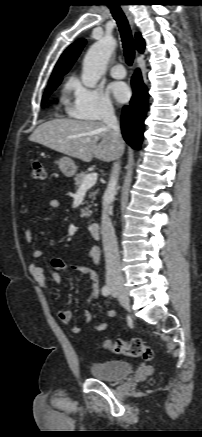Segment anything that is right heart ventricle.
I'll return each mask as SVG.
<instances>
[{
  "mask_svg": "<svg viewBox=\"0 0 202 437\" xmlns=\"http://www.w3.org/2000/svg\"><path fill=\"white\" fill-rule=\"evenodd\" d=\"M70 86L66 87L65 90H67Z\"/></svg>",
  "mask_w": 202,
  "mask_h": 437,
  "instance_id": "right-heart-ventricle-1",
  "label": "right heart ventricle"
}]
</instances>
